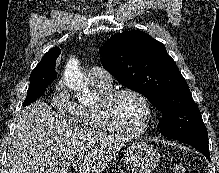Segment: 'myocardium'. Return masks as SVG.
Returning a JSON list of instances; mask_svg holds the SVG:
<instances>
[{
    "instance_id": "myocardium-1",
    "label": "myocardium",
    "mask_w": 219,
    "mask_h": 173,
    "mask_svg": "<svg viewBox=\"0 0 219 173\" xmlns=\"http://www.w3.org/2000/svg\"><path fill=\"white\" fill-rule=\"evenodd\" d=\"M124 94H131L136 96L141 100V102L145 107L144 122L139 129L134 131H127L121 128L116 122L113 114V106L115 102L120 96ZM99 106H100L101 115L107 126L111 129L112 132L122 137L136 138L143 135L148 131L151 122L153 120L154 109L150 100L147 98L145 94L134 88L122 87V88L113 89L110 93H108L106 96H104L101 99Z\"/></svg>"
}]
</instances>
